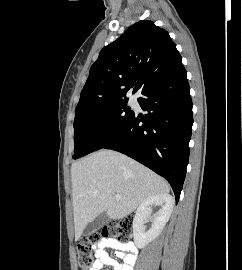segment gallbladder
<instances>
[{
    "label": "gallbladder",
    "mask_w": 242,
    "mask_h": 270,
    "mask_svg": "<svg viewBox=\"0 0 242 270\" xmlns=\"http://www.w3.org/2000/svg\"><path fill=\"white\" fill-rule=\"evenodd\" d=\"M107 222H108V215L104 212L98 215L93 221L87 224V226L84 229V234L86 236L91 235L93 232L103 227Z\"/></svg>",
    "instance_id": "obj_1"
}]
</instances>
